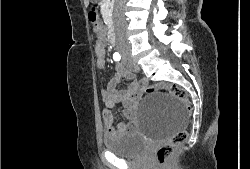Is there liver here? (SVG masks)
<instances>
[{
	"label": "liver",
	"mask_w": 250,
	"mask_h": 169,
	"mask_svg": "<svg viewBox=\"0 0 250 169\" xmlns=\"http://www.w3.org/2000/svg\"><path fill=\"white\" fill-rule=\"evenodd\" d=\"M84 2H85V4H86V6H88L89 0H84Z\"/></svg>",
	"instance_id": "1"
}]
</instances>
